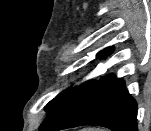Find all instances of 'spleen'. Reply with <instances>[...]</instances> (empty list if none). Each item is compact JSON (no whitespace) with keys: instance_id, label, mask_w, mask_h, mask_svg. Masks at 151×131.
Returning <instances> with one entry per match:
<instances>
[{"instance_id":"spleen-1","label":"spleen","mask_w":151,"mask_h":131,"mask_svg":"<svg viewBox=\"0 0 151 131\" xmlns=\"http://www.w3.org/2000/svg\"><path fill=\"white\" fill-rule=\"evenodd\" d=\"M84 131H100L98 129H88V130H84Z\"/></svg>"}]
</instances>
